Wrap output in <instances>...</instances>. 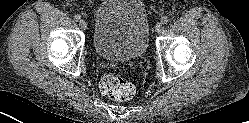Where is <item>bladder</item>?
I'll return each mask as SVG.
<instances>
[{"mask_svg": "<svg viewBox=\"0 0 249 123\" xmlns=\"http://www.w3.org/2000/svg\"><path fill=\"white\" fill-rule=\"evenodd\" d=\"M150 25L141 0H104L96 11L95 52L108 60H130L148 47Z\"/></svg>", "mask_w": 249, "mask_h": 123, "instance_id": "obj_1", "label": "bladder"}]
</instances>
